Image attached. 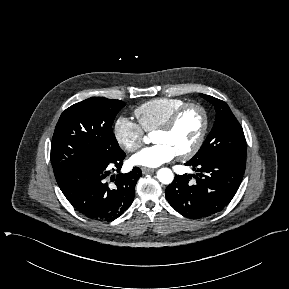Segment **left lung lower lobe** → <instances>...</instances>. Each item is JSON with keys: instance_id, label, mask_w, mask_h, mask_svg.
Segmentation results:
<instances>
[{"instance_id": "1", "label": "left lung lower lobe", "mask_w": 289, "mask_h": 289, "mask_svg": "<svg viewBox=\"0 0 289 289\" xmlns=\"http://www.w3.org/2000/svg\"><path fill=\"white\" fill-rule=\"evenodd\" d=\"M185 165L198 172L193 175L196 183L189 182L190 175H175L166 198L183 216L199 219L221 211L232 200L245 172L246 155L227 154Z\"/></svg>"}]
</instances>
